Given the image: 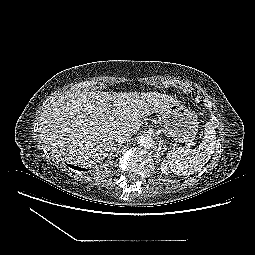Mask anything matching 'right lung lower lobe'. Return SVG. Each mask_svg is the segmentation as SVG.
<instances>
[{
	"label": "right lung lower lobe",
	"instance_id": "1",
	"mask_svg": "<svg viewBox=\"0 0 255 255\" xmlns=\"http://www.w3.org/2000/svg\"><path fill=\"white\" fill-rule=\"evenodd\" d=\"M71 168H73V169H76V170H81V171H84V170H86V169H84V168H80V167H76V166H73V165H69Z\"/></svg>",
	"mask_w": 255,
	"mask_h": 255
}]
</instances>
